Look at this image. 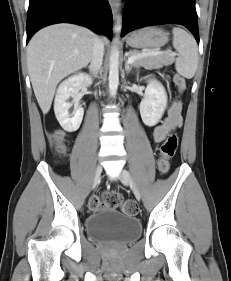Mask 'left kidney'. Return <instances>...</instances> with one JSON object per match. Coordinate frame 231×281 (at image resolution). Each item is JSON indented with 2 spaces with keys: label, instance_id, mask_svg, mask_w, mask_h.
I'll use <instances>...</instances> for the list:
<instances>
[{
  "label": "left kidney",
  "instance_id": "1",
  "mask_svg": "<svg viewBox=\"0 0 231 281\" xmlns=\"http://www.w3.org/2000/svg\"><path fill=\"white\" fill-rule=\"evenodd\" d=\"M167 105L165 88L158 81H148L140 103V114L145 125L155 126L161 119Z\"/></svg>",
  "mask_w": 231,
  "mask_h": 281
}]
</instances>
